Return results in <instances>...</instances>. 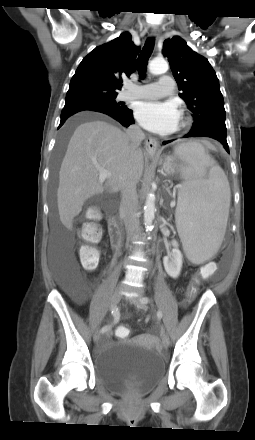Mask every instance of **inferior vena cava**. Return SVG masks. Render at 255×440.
<instances>
[{
  "instance_id": "1",
  "label": "inferior vena cava",
  "mask_w": 255,
  "mask_h": 440,
  "mask_svg": "<svg viewBox=\"0 0 255 440\" xmlns=\"http://www.w3.org/2000/svg\"><path fill=\"white\" fill-rule=\"evenodd\" d=\"M126 135L130 141L131 152L136 151L145 138L144 133L137 125L130 126L126 131ZM121 195L120 214L124 220L127 239L130 240L140 230L136 184L131 179L124 183Z\"/></svg>"
}]
</instances>
